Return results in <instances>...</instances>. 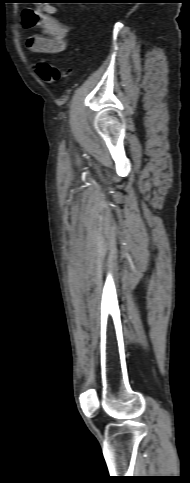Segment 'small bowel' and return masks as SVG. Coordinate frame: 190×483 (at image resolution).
<instances>
[{
  "mask_svg": "<svg viewBox=\"0 0 190 483\" xmlns=\"http://www.w3.org/2000/svg\"><path fill=\"white\" fill-rule=\"evenodd\" d=\"M55 12L56 8L47 4L23 11L24 27L42 30V34H32L27 37L26 46L31 52L56 55L66 49L68 29L53 16Z\"/></svg>",
  "mask_w": 190,
  "mask_h": 483,
  "instance_id": "obj_1",
  "label": "small bowel"
}]
</instances>
